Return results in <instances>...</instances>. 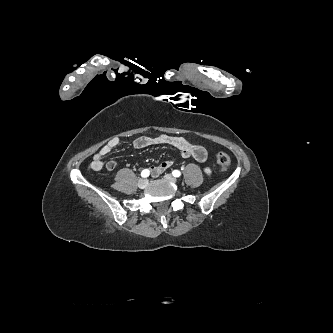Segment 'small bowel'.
Returning a JSON list of instances; mask_svg holds the SVG:
<instances>
[{"label":"small bowel","mask_w":333,"mask_h":333,"mask_svg":"<svg viewBox=\"0 0 333 333\" xmlns=\"http://www.w3.org/2000/svg\"><path fill=\"white\" fill-rule=\"evenodd\" d=\"M119 139L113 138L106 145H104L94 156L90 163V168L94 171H99L104 166V158L118 146ZM167 145L177 148L180 151L181 157L184 159H194L197 162H204L207 157L206 149L199 144L191 143L187 139L179 136L160 135L158 137L142 136L133 140V146L136 149H143L150 146ZM116 162L109 160L105 163V167L108 171H113L116 168ZM172 165L171 160H164L157 165L151 167V173L153 176H159L165 172ZM206 175L210 176L211 170L206 167L204 169Z\"/></svg>","instance_id":"1"}]
</instances>
